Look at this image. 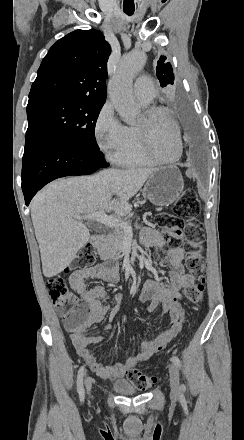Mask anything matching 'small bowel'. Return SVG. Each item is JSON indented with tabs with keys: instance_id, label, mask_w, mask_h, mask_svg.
I'll return each mask as SVG.
<instances>
[{
	"instance_id": "obj_1",
	"label": "small bowel",
	"mask_w": 244,
	"mask_h": 440,
	"mask_svg": "<svg viewBox=\"0 0 244 440\" xmlns=\"http://www.w3.org/2000/svg\"><path fill=\"white\" fill-rule=\"evenodd\" d=\"M143 245L158 250L163 256V262L171 267L168 273L169 283L165 284L156 279H147L139 295V301L148 302L147 311L153 313L161 305L163 311L172 318L171 325L156 339L145 342L140 350L127 361L115 364H103L96 361L89 349L91 345L102 342L99 335H89L87 329L104 320L108 306L103 304V299L108 295L101 286L87 287L85 280L98 278L107 283L118 281V267L112 264H99L89 268L74 271L69 277V283L80 300H87L91 308V315L87 317L82 335H70L77 354L85 364L104 380H121L130 370L140 362L149 359L152 355L164 350L183 330L185 325V311L181 306V291L194 284L195 278L184 267L185 251L181 247H170L162 234L154 228H143L141 231ZM115 300L119 303L120 295L114 293ZM118 308V305L115 309ZM108 328V326L106 327Z\"/></svg>"
}]
</instances>
